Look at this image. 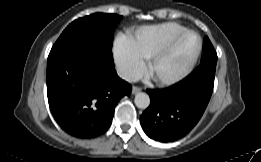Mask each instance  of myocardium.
I'll list each match as a JSON object with an SVG mask.
<instances>
[{
  "mask_svg": "<svg viewBox=\"0 0 261 162\" xmlns=\"http://www.w3.org/2000/svg\"><path fill=\"white\" fill-rule=\"evenodd\" d=\"M195 34L198 38V46L196 48V51L194 52L191 59L188 61V63L177 73L171 75V76H156L153 73V69L155 65L163 58L165 57L174 47V45L186 34ZM202 38L200 34L191 29H186L176 35H174L172 38H170L160 49H158L148 60L147 63V73L148 75L157 83L161 85H173L181 80H183L185 77H187L193 68L196 65V62L200 56L201 50H202Z\"/></svg>",
  "mask_w": 261,
  "mask_h": 162,
  "instance_id": "1",
  "label": "myocardium"
}]
</instances>
